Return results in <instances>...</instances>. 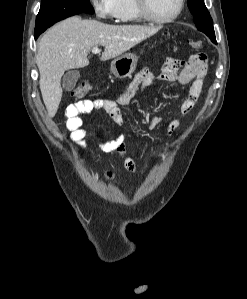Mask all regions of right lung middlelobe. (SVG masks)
<instances>
[{"label": "right lung middle lobe", "instance_id": "dd1d6c3e", "mask_svg": "<svg viewBox=\"0 0 247 299\" xmlns=\"http://www.w3.org/2000/svg\"><path fill=\"white\" fill-rule=\"evenodd\" d=\"M80 13H94L90 0H41L34 36H39L54 23Z\"/></svg>", "mask_w": 247, "mask_h": 299}]
</instances>
